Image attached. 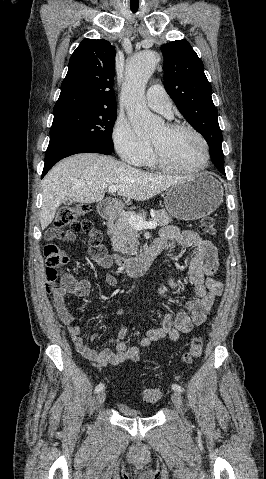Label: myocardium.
Returning <instances> with one entry per match:
<instances>
[{"mask_svg": "<svg viewBox=\"0 0 266 479\" xmlns=\"http://www.w3.org/2000/svg\"><path fill=\"white\" fill-rule=\"evenodd\" d=\"M168 130L178 131V130H186L191 132L201 143L203 148V159L200 165L188 168V167H179L170 164L167 162L163 156L161 155L160 151L156 148V146L152 144L153 149V158L157 164V166L167 172H175V173H186V174H195L204 171L210 161V149L209 145L205 139V137L193 126L185 124V123H168L165 125Z\"/></svg>", "mask_w": 266, "mask_h": 479, "instance_id": "myocardium-1", "label": "myocardium"}]
</instances>
